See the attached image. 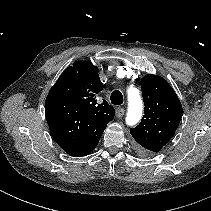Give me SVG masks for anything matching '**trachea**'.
<instances>
[{
    "instance_id": "trachea-1",
    "label": "trachea",
    "mask_w": 211,
    "mask_h": 211,
    "mask_svg": "<svg viewBox=\"0 0 211 211\" xmlns=\"http://www.w3.org/2000/svg\"><path fill=\"white\" fill-rule=\"evenodd\" d=\"M110 100L114 105H121L123 103V95L120 91L115 90L111 93Z\"/></svg>"
}]
</instances>
